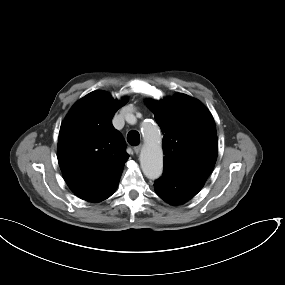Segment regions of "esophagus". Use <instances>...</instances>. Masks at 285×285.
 <instances>
[{
	"label": "esophagus",
	"mask_w": 285,
	"mask_h": 285,
	"mask_svg": "<svg viewBox=\"0 0 285 285\" xmlns=\"http://www.w3.org/2000/svg\"><path fill=\"white\" fill-rule=\"evenodd\" d=\"M141 148H142L141 145H137V146H135L133 149H134V152H135L136 154H139L140 151H141Z\"/></svg>",
	"instance_id": "obj_1"
}]
</instances>
